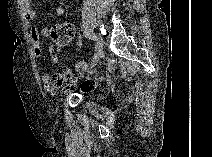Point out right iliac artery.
Masks as SVG:
<instances>
[{
  "label": "right iliac artery",
  "mask_w": 212,
  "mask_h": 157,
  "mask_svg": "<svg viewBox=\"0 0 212 157\" xmlns=\"http://www.w3.org/2000/svg\"><path fill=\"white\" fill-rule=\"evenodd\" d=\"M86 37H87L88 39H90V40H95L94 35H92V34H90V33L87 34Z\"/></svg>",
  "instance_id": "82829eb1"
}]
</instances>
